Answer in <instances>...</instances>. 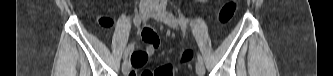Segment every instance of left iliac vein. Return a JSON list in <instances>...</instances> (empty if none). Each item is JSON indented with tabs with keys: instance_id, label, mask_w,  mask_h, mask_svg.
Returning a JSON list of instances; mask_svg holds the SVG:
<instances>
[{
	"instance_id": "4c4485c4",
	"label": "left iliac vein",
	"mask_w": 333,
	"mask_h": 76,
	"mask_svg": "<svg viewBox=\"0 0 333 76\" xmlns=\"http://www.w3.org/2000/svg\"><path fill=\"white\" fill-rule=\"evenodd\" d=\"M151 15L153 18L168 24L174 29H176L178 26L177 20L174 15L163 9V7L159 6L158 4L153 5ZM196 73L199 76H203L205 74V67L203 62L198 61L196 63Z\"/></svg>"
}]
</instances>
